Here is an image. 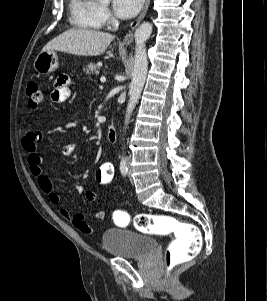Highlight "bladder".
I'll use <instances>...</instances> for the list:
<instances>
[{"mask_svg":"<svg viewBox=\"0 0 267 301\" xmlns=\"http://www.w3.org/2000/svg\"><path fill=\"white\" fill-rule=\"evenodd\" d=\"M102 245L107 253L126 259H142L157 249L154 238L121 228L106 229L102 234Z\"/></svg>","mask_w":267,"mask_h":301,"instance_id":"bladder-1","label":"bladder"}]
</instances>
